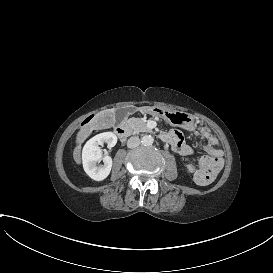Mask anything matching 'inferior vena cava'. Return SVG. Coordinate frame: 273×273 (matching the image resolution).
Returning <instances> with one entry per match:
<instances>
[{
	"mask_svg": "<svg viewBox=\"0 0 273 273\" xmlns=\"http://www.w3.org/2000/svg\"><path fill=\"white\" fill-rule=\"evenodd\" d=\"M140 145V139L138 136H131L127 141V147L135 148Z\"/></svg>",
	"mask_w": 273,
	"mask_h": 273,
	"instance_id": "602c4592",
	"label": "inferior vena cava"
}]
</instances>
